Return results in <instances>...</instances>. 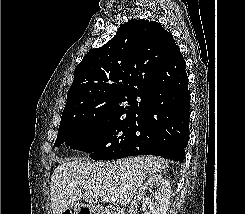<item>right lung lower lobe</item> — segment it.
<instances>
[{"label": "right lung lower lobe", "instance_id": "right-lung-lower-lobe-1", "mask_svg": "<svg viewBox=\"0 0 245 214\" xmlns=\"http://www.w3.org/2000/svg\"><path fill=\"white\" fill-rule=\"evenodd\" d=\"M189 104L188 78L153 89L135 109L127 143L114 159L155 155L182 162L189 140Z\"/></svg>", "mask_w": 245, "mask_h": 214}]
</instances>
